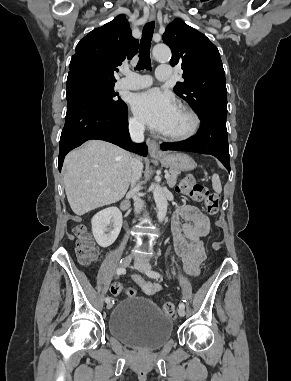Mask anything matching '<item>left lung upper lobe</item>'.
<instances>
[{
	"instance_id": "1",
	"label": "left lung upper lobe",
	"mask_w": 291,
	"mask_h": 381,
	"mask_svg": "<svg viewBox=\"0 0 291 381\" xmlns=\"http://www.w3.org/2000/svg\"><path fill=\"white\" fill-rule=\"evenodd\" d=\"M163 41L172 51L170 64L183 69V81L177 82L174 92L190 104L200 119L226 118V80L217 47L181 19L167 26Z\"/></svg>"
}]
</instances>
